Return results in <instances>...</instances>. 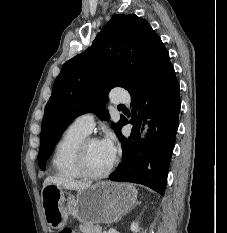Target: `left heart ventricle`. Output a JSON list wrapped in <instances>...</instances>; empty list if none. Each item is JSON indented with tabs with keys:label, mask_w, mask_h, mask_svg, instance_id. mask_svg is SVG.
Listing matches in <instances>:
<instances>
[{
	"label": "left heart ventricle",
	"mask_w": 227,
	"mask_h": 233,
	"mask_svg": "<svg viewBox=\"0 0 227 233\" xmlns=\"http://www.w3.org/2000/svg\"><path fill=\"white\" fill-rule=\"evenodd\" d=\"M112 157L99 141H92L88 146L87 163L94 172L104 171L112 162Z\"/></svg>",
	"instance_id": "b2bd125f"
}]
</instances>
